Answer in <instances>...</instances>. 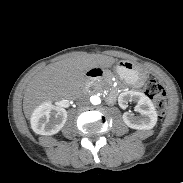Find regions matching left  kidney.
I'll return each mask as SVG.
<instances>
[{
	"mask_svg": "<svg viewBox=\"0 0 183 183\" xmlns=\"http://www.w3.org/2000/svg\"><path fill=\"white\" fill-rule=\"evenodd\" d=\"M129 101L137 103L136 109L140 115L135 116L132 112H124V123L132 129H152L156 125L158 119L157 112L152 101L145 94L137 91H125L118 97V104L122 109H126Z\"/></svg>",
	"mask_w": 183,
	"mask_h": 183,
	"instance_id": "1",
	"label": "left kidney"
}]
</instances>
